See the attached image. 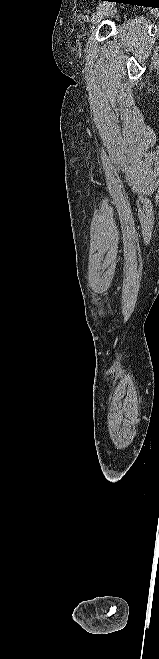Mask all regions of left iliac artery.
<instances>
[{
  "mask_svg": "<svg viewBox=\"0 0 159 659\" xmlns=\"http://www.w3.org/2000/svg\"><path fill=\"white\" fill-rule=\"evenodd\" d=\"M103 5H105V3H100L99 6L97 7V9H99V8L102 7Z\"/></svg>",
  "mask_w": 159,
  "mask_h": 659,
  "instance_id": "left-iliac-artery-1",
  "label": "left iliac artery"
}]
</instances>
